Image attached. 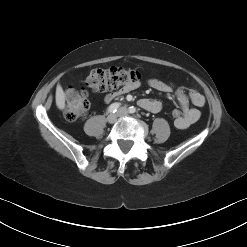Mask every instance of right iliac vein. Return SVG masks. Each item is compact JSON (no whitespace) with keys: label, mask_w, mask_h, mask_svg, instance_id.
<instances>
[{"label":"right iliac vein","mask_w":247,"mask_h":247,"mask_svg":"<svg viewBox=\"0 0 247 247\" xmlns=\"http://www.w3.org/2000/svg\"><path fill=\"white\" fill-rule=\"evenodd\" d=\"M117 117H118V114L111 113V114L108 115L107 121H108L110 124H113V123L116 122Z\"/></svg>","instance_id":"right-iliac-vein-1"}]
</instances>
